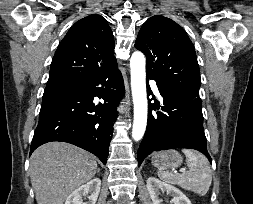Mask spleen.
I'll return each instance as SVG.
<instances>
[{
    "instance_id": "3e777b00",
    "label": "spleen",
    "mask_w": 253,
    "mask_h": 204,
    "mask_svg": "<svg viewBox=\"0 0 253 204\" xmlns=\"http://www.w3.org/2000/svg\"><path fill=\"white\" fill-rule=\"evenodd\" d=\"M189 171L179 174L170 171H158V176L163 181L178 185L186 190L205 195L212 182V170L207 158L197 151L183 149Z\"/></svg>"
}]
</instances>
